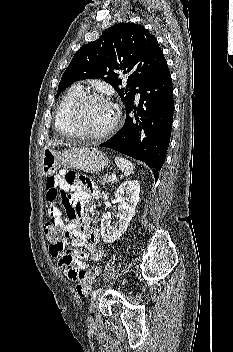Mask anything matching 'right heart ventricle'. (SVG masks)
Masks as SVG:
<instances>
[{
    "label": "right heart ventricle",
    "mask_w": 233,
    "mask_h": 352,
    "mask_svg": "<svg viewBox=\"0 0 233 352\" xmlns=\"http://www.w3.org/2000/svg\"><path fill=\"white\" fill-rule=\"evenodd\" d=\"M83 93V89L79 85L71 87L62 98L55 115L56 129L66 137H74L68 124V112L78 96Z\"/></svg>",
    "instance_id": "right-heart-ventricle-1"
}]
</instances>
